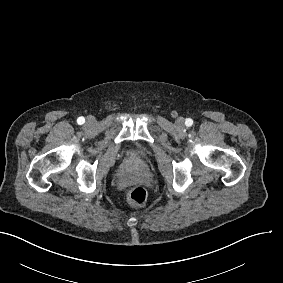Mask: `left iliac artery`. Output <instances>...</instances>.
I'll use <instances>...</instances> for the list:
<instances>
[{
    "mask_svg": "<svg viewBox=\"0 0 283 283\" xmlns=\"http://www.w3.org/2000/svg\"><path fill=\"white\" fill-rule=\"evenodd\" d=\"M185 124H186V126H191L192 124H193V120L192 119H190V118H188V119H186V122H185Z\"/></svg>",
    "mask_w": 283,
    "mask_h": 283,
    "instance_id": "44dca946",
    "label": "left iliac artery"
}]
</instances>
